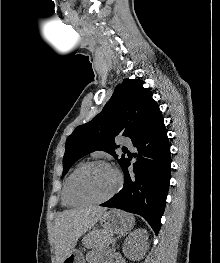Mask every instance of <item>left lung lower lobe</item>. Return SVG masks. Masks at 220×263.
Returning <instances> with one entry per match:
<instances>
[{"mask_svg":"<svg viewBox=\"0 0 220 263\" xmlns=\"http://www.w3.org/2000/svg\"><path fill=\"white\" fill-rule=\"evenodd\" d=\"M136 152L133 172L130 161L122 165L123 189L104 207H114L141 215L158 234L168 194L171 170L170 145L163 117L158 119L140 138L133 141Z\"/></svg>","mask_w":220,"mask_h":263,"instance_id":"1","label":"left lung lower lobe"}]
</instances>
